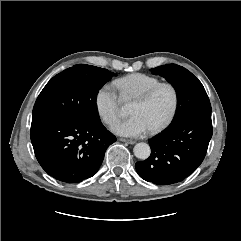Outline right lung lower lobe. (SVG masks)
Instances as JSON below:
<instances>
[{"mask_svg": "<svg viewBox=\"0 0 241 241\" xmlns=\"http://www.w3.org/2000/svg\"><path fill=\"white\" fill-rule=\"evenodd\" d=\"M116 137L102 123L70 117L32 120L31 142L46 173L58 181L77 183L98 171Z\"/></svg>", "mask_w": 241, "mask_h": 241, "instance_id": "obj_1", "label": "right lung lower lobe"}]
</instances>
